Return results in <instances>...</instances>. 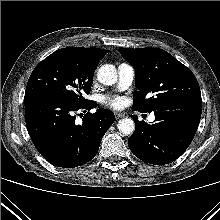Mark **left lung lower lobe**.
I'll return each instance as SVG.
<instances>
[{
  "instance_id": "obj_1",
  "label": "left lung lower lobe",
  "mask_w": 220,
  "mask_h": 220,
  "mask_svg": "<svg viewBox=\"0 0 220 220\" xmlns=\"http://www.w3.org/2000/svg\"><path fill=\"white\" fill-rule=\"evenodd\" d=\"M201 110V99H190L155 110L154 124L140 122L132 116L136 128L128 139L131 152L150 164L165 165L175 161L192 142Z\"/></svg>"
}]
</instances>
